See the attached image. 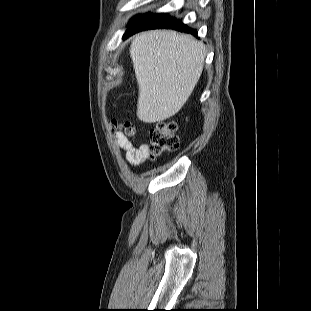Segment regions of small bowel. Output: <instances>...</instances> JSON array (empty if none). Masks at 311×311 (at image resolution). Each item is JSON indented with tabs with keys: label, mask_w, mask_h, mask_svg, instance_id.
Returning <instances> with one entry per match:
<instances>
[{
	"label": "small bowel",
	"mask_w": 311,
	"mask_h": 311,
	"mask_svg": "<svg viewBox=\"0 0 311 311\" xmlns=\"http://www.w3.org/2000/svg\"><path fill=\"white\" fill-rule=\"evenodd\" d=\"M114 143L119 149L125 151L126 160L132 166H139L149 155V147L146 144L131 141L123 132L115 133Z\"/></svg>",
	"instance_id": "1"
}]
</instances>
